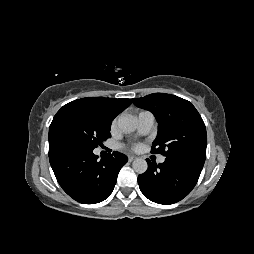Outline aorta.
Returning a JSON list of instances; mask_svg holds the SVG:
<instances>
[{
  "label": "aorta",
  "instance_id": "obj_1",
  "mask_svg": "<svg viewBox=\"0 0 254 254\" xmlns=\"http://www.w3.org/2000/svg\"><path fill=\"white\" fill-rule=\"evenodd\" d=\"M118 128L123 133H132L136 130V123L132 118L121 117L118 119ZM133 170L138 174H143L147 171L148 164L146 160L137 158L132 163Z\"/></svg>",
  "mask_w": 254,
  "mask_h": 254
}]
</instances>
